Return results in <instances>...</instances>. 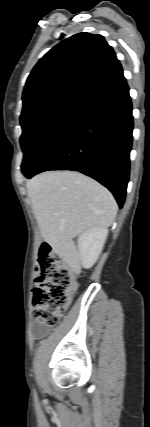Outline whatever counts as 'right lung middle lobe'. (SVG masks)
I'll return each instance as SVG.
<instances>
[{
  "label": "right lung middle lobe",
  "instance_id": "dd1d6c3e",
  "mask_svg": "<svg viewBox=\"0 0 150 427\" xmlns=\"http://www.w3.org/2000/svg\"><path fill=\"white\" fill-rule=\"evenodd\" d=\"M79 109L77 105L53 104L36 108L20 117L23 174L29 176Z\"/></svg>",
  "mask_w": 150,
  "mask_h": 427
}]
</instances>
